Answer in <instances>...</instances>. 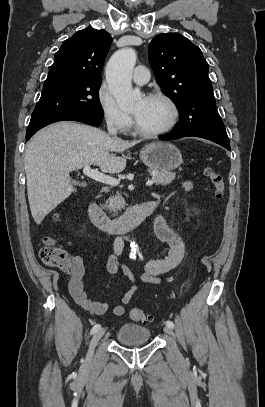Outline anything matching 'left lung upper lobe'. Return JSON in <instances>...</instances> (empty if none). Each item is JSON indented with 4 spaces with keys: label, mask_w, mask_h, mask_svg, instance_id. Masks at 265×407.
Instances as JSON below:
<instances>
[{
    "label": "left lung upper lobe",
    "mask_w": 265,
    "mask_h": 407,
    "mask_svg": "<svg viewBox=\"0 0 265 407\" xmlns=\"http://www.w3.org/2000/svg\"><path fill=\"white\" fill-rule=\"evenodd\" d=\"M148 56L158 85L179 110L172 133L229 144L200 48L180 34L163 33L150 42Z\"/></svg>",
    "instance_id": "1"
}]
</instances>
